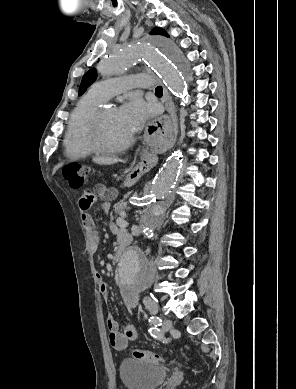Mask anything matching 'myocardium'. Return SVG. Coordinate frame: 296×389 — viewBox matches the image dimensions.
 Returning <instances> with one entry per match:
<instances>
[{
  "instance_id": "myocardium-1",
  "label": "myocardium",
  "mask_w": 296,
  "mask_h": 389,
  "mask_svg": "<svg viewBox=\"0 0 296 389\" xmlns=\"http://www.w3.org/2000/svg\"><path fill=\"white\" fill-rule=\"evenodd\" d=\"M105 116V109H101L94 117L91 132H90V144L95 153L101 154H115L127 149L132 143L133 138H129L122 144L116 146H110L106 144L103 138V121Z\"/></svg>"
}]
</instances>
